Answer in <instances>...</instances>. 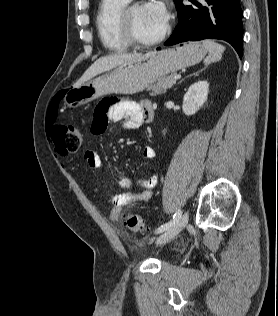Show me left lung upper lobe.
Wrapping results in <instances>:
<instances>
[{"label":"left lung upper lobe","instance_id":"left-lung-upper-lobe-1","mask_svg":"<svg viewBox=\"0 0 278 316\" xmlns=\"http://www.w3.org/2000/svg\"><path fill=\"white\" fill-rule=\"evenodd\" d=\"M175 1V3L177 4V2L179 1V0H174Z\"/></svg>","mask_w":278,"mask_h":316}]
</instances>
